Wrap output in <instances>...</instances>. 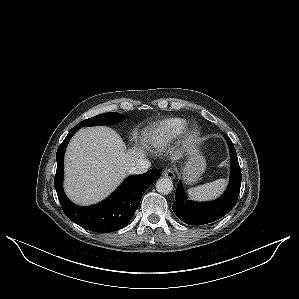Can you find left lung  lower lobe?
<instances>
[{"instance_id": "0a47b994", "label": "left lung lower lobe", "mask_w": 299, "mask_h": 299, "mask_svg": "<svg viewBox=\"0 0 299 299\" xmlns=\"http://www.w3.org/2000/svg\"><path fill=\"white\" fill-rule=\"evenodd\" d=\"M224 137L230 149V182L225 193L217 200L211 202L187 201L181 182L176 189V202L172 209L176 216L189 225H203L214 222L225 216L235 205L241 187V171L236 151L232 141L224 133Z\"/></svg>"}]
</instances>
